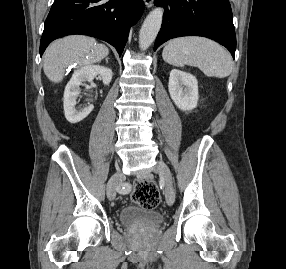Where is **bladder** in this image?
Listing matches in <instances>:
<instances>
[{
  "mask_svg": "<svg viewBox=\"0 0 286 269\" xmlns=\"http://www.w3.org/2000/svg\"><path fill=\"white\" fill-rule=\"evenodd\" d=\"M118 220L123 225L158 226L164 217L160 212L130 205L119 211Z\"/></svg>",
  "mask_w": 286,
  "mask_h": 269,
  "instance_id": "31cf9c89",
  "label": "bladder"
}]
</instances>
